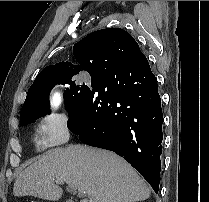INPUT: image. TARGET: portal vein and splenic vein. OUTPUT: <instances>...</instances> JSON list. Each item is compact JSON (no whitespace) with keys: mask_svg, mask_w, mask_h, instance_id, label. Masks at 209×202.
Returning <instances> with one entry per match:
<instances>
[{"mask_svg":"<svg viewBox=\"0 0 209 202\" xmlns=\"http://www.w3.org/2000/svg\"><path fill=\"white\" fill-rule=\"evenodd\" d=\"M57 184H63L64 182L61 179H55L54 180ZM80 194H85L86 192L84 190H78Z\"/></svg>","mask_w":209,"mask_h":202,"instance_id":"portal-vein-and-splenic-vein-1","label":"portal vein and splenic vein"}]
</instances>
